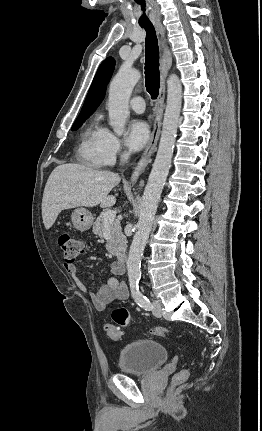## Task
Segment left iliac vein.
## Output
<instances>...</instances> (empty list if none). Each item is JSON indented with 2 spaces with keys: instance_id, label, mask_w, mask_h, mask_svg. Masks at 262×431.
Listing matches in <instances>:
<instances>
[{
  "instance_id": "obj_1",
  "label": "left iliac vein",
  "mask_w": 262,
  "mask_h": 431,
  "mask_svg": "<svg viewBox=\"0 0 262 431\" xmlns=\"http://www.w3.org/2000/svg\"><path fill=\"white\" fill-rule=\"evenodd\" d=\"M152 313L156 317L162 316V303L160 300H153Z\"/></svg>"
}]
</instances>
